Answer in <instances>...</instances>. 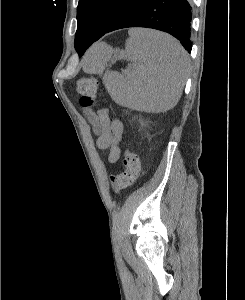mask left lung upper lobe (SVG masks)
Returning <instances> with one entry per match:
<instances>
[{"label": "left lung upper lobe", "instance_id": "5c2ea615", "mask_svg": "<svg viewBox=\"0 0 245 300\" xmlns=\"http://www.w3.org/2000/svg\"><path fill=\"white\" fill-rule=\"evenodd\" d=\"M136 0H79L77 9L78 27L75 49H83V39L104 34L112 22Z\"/></svg>", "mask_w": 245, "mask_h": 300}]
</instances>
